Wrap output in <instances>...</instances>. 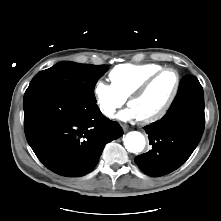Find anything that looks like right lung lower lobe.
<instances>
[{"label":"right lung lower lobe","instance_id":"right-lung-lower-lobe-1","mask_svg":"<svg viewBox=\"0 0 221 221\" xmlns=\"http://www.w3.org/2000/svg\"><path fill=\"white\" fill-rule=\"evenodd\" d=\"M24 129L38 159L51 171L83 176L96 166L104 146L122 136L93 103L51 93L25 94Z\"/></svg>","mask_w":221,"mask_h":221}]
</instances>
